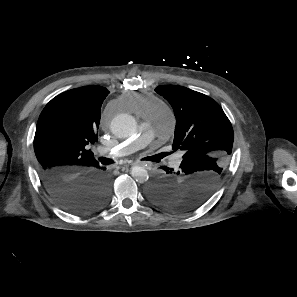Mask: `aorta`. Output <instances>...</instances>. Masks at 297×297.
Segmentation results:
<instances>
[{"label":"aorta","mask_w":297,"mask_h":297,"mask_svg":"<svg viewBox=\"0 0 297 297\" xmlns=\"http://www.w3.org/2000/svg\"><path fill=\"white\" fill-rule=\"evenodd\" d=\"M136 130V122L134 118L126 113L115 116L111 121V131L117 137L127 138ZM131 176L139 183L148 180V172L141 166H133L131 168Z\"/></svg>","instance_id":"aorta-1"}]
</instances>
